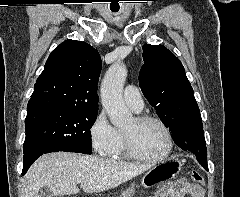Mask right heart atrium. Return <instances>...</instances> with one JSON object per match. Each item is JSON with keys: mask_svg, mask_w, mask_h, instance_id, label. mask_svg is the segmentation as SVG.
Segmentation results:
<instances>
[{"mask_svg": "<svg viewBox=\"0 0 240 197\" xmlns=\"http://www.w3.org/2000/svg\"><path fill=\"white\" fill-rule=\"evenodd\" d=\"M89 140L95 153L110 156L118 141V132L110 124L106 113L100 111L89 127Z\"/></svg>", "mask_w": 240, "mask_h": 197, "instance_id": "1", "label": "right heart atrium"}]
</instances>
